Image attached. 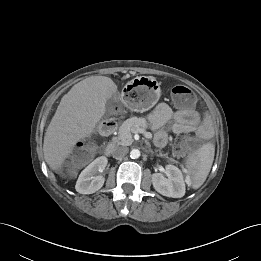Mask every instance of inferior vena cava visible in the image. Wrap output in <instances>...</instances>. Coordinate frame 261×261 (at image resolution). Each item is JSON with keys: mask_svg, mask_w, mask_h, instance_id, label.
Returning <instances> with one entry per match:
<instances>
[{"mask_svg": "<svg viewBox=\"0 0 261 261\" xmlns=\"http://www.w3.org/2000/svg\"><path fill=\"white\" fill-rule=\"evenodd\" d=\"M129 149L127 147L124 146H116L114 147V149L112 150V156L115 159H121L123 158L125 155H127Z\"/></svg>", "mask_w": 261, "mask_h": 261, "instance_id": "obj_1", "label": "inferior vena cava"}]
</instances>
